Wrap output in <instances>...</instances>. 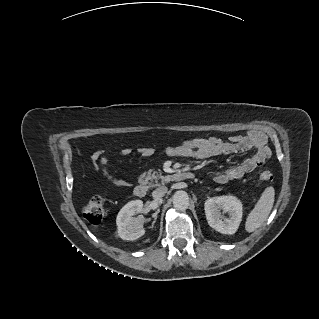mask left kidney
I'll use <instances>...</instances> for the list:
<instances>
[{"mask_svg":"<svg viewBox=\"0 0 319 319\" xmlns=\"http://www.w3.org/2000/svg\"><path fill=\"white\" fill-rule=\"evenodd\" d=\"M204 210L209 226L222 234H234L242 220V203L232 195L207 199ZM221 211L228 213L229 217H223Z\"/></svg>","mask_w":319,"mask_h":319,"instance_id":"obj_1","label":"left kidney"}]
</instances>
